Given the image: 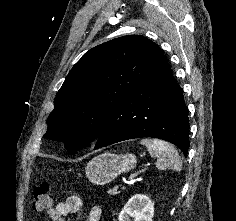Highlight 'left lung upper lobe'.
<instances>
[{
  "label": "left lung upper lobe",
  "instance_id": "left-lung-upper-lobe-1",
  "mask_svg": "<svg viewBox=\"0 0 236 221\" xmlns=\"http://www.w3.org/2000/svg\"><path fill=\"white\" fill-rule=\"evenodd\" d=\"M162 55L157 44L141 35L123 36L90 49L58 91L44 136L64 142L73 152L87 146Z\"/></svg>",
  "mask_w": 236,
  "mask_h": 221
}]
</instances>
